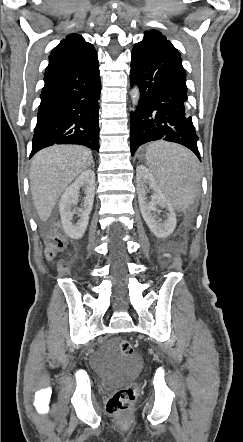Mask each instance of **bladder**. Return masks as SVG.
Here are the masks:
<instances>
[{
    "mask_svg": "<svg viewBox=\"0 0 243 442\" xmlns=\"http://www.w3.org/2000/svg\"><path fill=\"white\" fill-rule=\"evenodd\" d=\"M140 364L139 358L124 356L122 359H119L116 364V379L118 381H127L134 378L139 372Z\"/></svg>",
    "mask_w": 243,
    "mask_h": 442,
    "instance_id": "bladder-1",
    "label": "bladder"
}]
</instances>
